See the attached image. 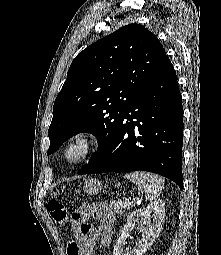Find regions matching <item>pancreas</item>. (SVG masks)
<instances>
[{
  "mask_svg": "<svg viewBox=\"0 0 221 255\" xmlns=\"http://www.w3.org/2000/svg\"><path fill=\"white\" fill-rule=\"evenodd\" d=\"M132 204H129L127 200H110V208L115 212L122 214L125 210H129Z\"/></svg>",
  "mask_w": 221,
  "mask_h": 255,
  "instance_id": "cf45deb5",
  "label": "pancreas"
}]
</instances>
